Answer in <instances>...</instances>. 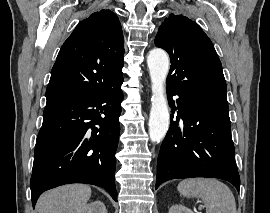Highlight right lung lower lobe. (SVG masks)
I'll use <instances>...</instances> for the list:
<instances>
[{"mask_svg":"<svg viewBox=\"0 0 270 213\" xmlns=\"http://www.w3.org/2000/svg\"><path fill=\"white\" fill-rule=\"evenodd\" d=\"M121 85L45 107L30 180L33 207L41 193L69 183L103 187L117 201L115 153L123 100Z\"/></svg>","mask_w":270,"mask_h":213,"instance_id":"right-lung-lower-lobe-1","label":"right lung lower lobe"}]
</instances>
